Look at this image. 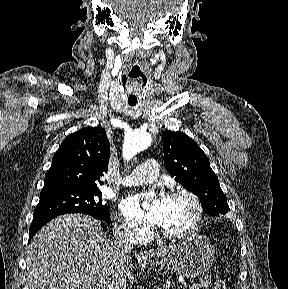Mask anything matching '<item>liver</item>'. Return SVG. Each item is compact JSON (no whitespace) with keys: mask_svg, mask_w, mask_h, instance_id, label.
<instances>
[{"mask_svg":"<svg viewBox=\"0 0 288 289\" xmlns=\"http://www.w3.org/2000/svg\"><path fill=\"white\" fill-rule=\"evenodd\" d=\"M171 247L151 250L163 257ZM29 289H130L132 258L119 257L100 223L83 214L56 217L32 238L27 252Z\"/></svg>","mask_w":288,"mask_h":289,"instance_id":"liver-1","label":"liver"}]
</instances>
